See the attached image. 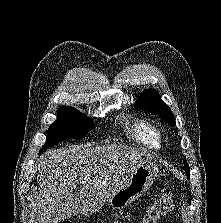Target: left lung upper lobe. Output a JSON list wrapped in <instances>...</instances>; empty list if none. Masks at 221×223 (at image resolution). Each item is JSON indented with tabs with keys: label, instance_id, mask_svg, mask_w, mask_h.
I'll return each mask as SVG.
<instances>
[{
	"label": "left lung upper lobe",
	"instance_id": "1",
	"mask_svg": "<svg viewBox=\"0 0 221 223\" xmlns=\"http://www.w3.org/2000/svg\"><path fill=\"white\" fill-rule=\"evenodd\" d=\"M134 106L136 108L148 110L149 112L158 114L162 119L166 120V122L170 126H175L176 122L173 113L171 112L170 108L166 105V103L161 100L159 93L154 89H146L145 91H143ZM183 163L184 170L188 178H190V169L187 164L186 158H184Z\"/></svg>",
	"mask_w": 221,
	"mask_h": 223
}]
</instances>
